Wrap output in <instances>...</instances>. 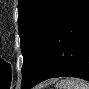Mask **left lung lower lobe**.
I'll return each instance as SVG.
<instances>
[{
  "label": "left lung lower lobe",
  "mask_w": 89,
  "mask_h": 89,
  "mask_svg": "<svg viewBox=\"0 0 89 89\" xmlns=\"http://www.w3.org/2000/svg\"><path fill=\"white\" fill-rule=\"evenodd\" d=\"M54 77L89 81V0H72L35 76L25 89Z\"/></svg>",
  "instance_id": "1"
}]
</instances>
